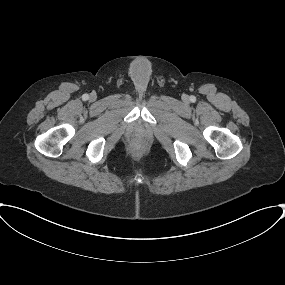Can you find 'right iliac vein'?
Segmentation results:
<instances>
[{"label":"right iliac vein","mask_w":285,"mask_h":285,"mask_svg":"<svg viewBox=\"0 0 285 285\" xmlns=\"http://www.w3.org/2000/svg\"><path fill=\"white\" fill-rule=\"evenodd\" d=\"M90 99H91V100H94V99H95V96H94V95H91V96H90Z\"/></svg>","instance_id":"1"}]
</instances>
